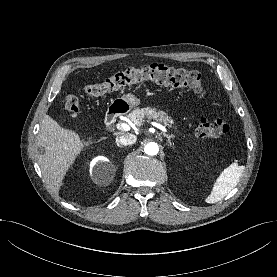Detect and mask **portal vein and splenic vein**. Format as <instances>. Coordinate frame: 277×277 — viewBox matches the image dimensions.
<instances>
[{
  "label": "portal vein and splenic vein",
  "mask_w": 277,
  "mask_h": 277,
  "mask_svg": "<svg viewBox=\"0 0 277 277\" xmlns=\"http://www.w3.org/2000/svg\"><path fill=\"white\" fill-rule=\"evenodd\" d=\"M152 124L154 126H156L157 128H159L160 130H162L163 132H167V129L165 128V126H163V125H161L159 123H156V122H152ZM116 127H117V129L122 130V131H128V130H130V126L125 124V123H119V124H117Z\"/></svg>",
  "instance_id": "18ae733b"
}]
</instances>
